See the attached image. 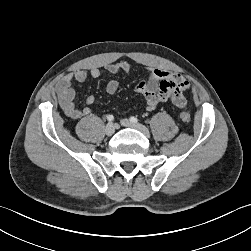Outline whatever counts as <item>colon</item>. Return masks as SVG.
Returning <instances> with one entry per match:
<instances>
[{
  "label": "colon",
  "instance_id": "5ec220e1",
  "mask_svg": "<svg viewBox=\"0 0 251 251\" xmlns=\"http://www.w3.org/2000/svg\"><path fill=\"white\" fill-rule=\"evenodd\" d=\"M180 118L185 123H189L191 121V115L186 111H182L180 113Z\"/></svg>",
  "mask_w": 251,
  "mask_h": 251
}]
</instances>
